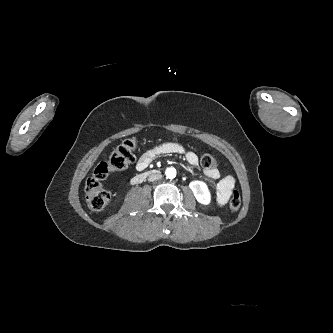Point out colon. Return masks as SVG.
Instances as JSON below:
<instances>
[{
  "instance_id": "1",
  "label": "colon",
  "mask_w": 333,
  "mask_h": 333,
  "mask_svg": "<svg viewBox=\"0 0 333 333\" xmlns=\"http://www.w3.org/2000/svg\"><path fill=\"white\" fill-rule=\"evenodd\" d=\"M136 147V139H127L113 151L107 160L100 162L96 166L85 183L86 201L91 210L101 211L108 205L110 196L103 189L101 181L110 173L122 171L131 166L135 159ZM201 165L204 169H213L216 168V160L211 154H204L201 158ZM229 206L233 211L240 208L241 197L237 191L232 193Z\"/></svg>"
}]
</instances>
